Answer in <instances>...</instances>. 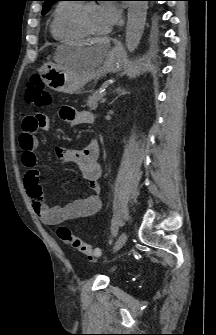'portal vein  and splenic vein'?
Masks as SVG:
<instances>
[{"label": "portal vein and splenic vein", "mask_w": 216, "mask_h": 335, "mask_svg": "<svg viewBox=\"0 0 216 335\" xmlns=\"http://www.w3.org/2000/svg\"><path fill=\"white\" fill-rule=\"evenodd\" d=\"M106 100H107V99H106L105 97H103V98L101 99V101H100V102L103 104V103H105V102H106Z\"/></svg>", "instance_id": "portal-vein-and-splenic-vein-1"}]
</instances>
